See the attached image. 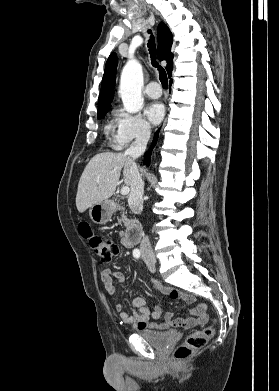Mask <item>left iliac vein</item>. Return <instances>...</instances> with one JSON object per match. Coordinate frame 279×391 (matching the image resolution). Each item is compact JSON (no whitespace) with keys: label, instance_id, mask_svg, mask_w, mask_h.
<instances>
[{"label":"left iliac vein","instance_id":"left-iliac-vein-1","mask_svg":"<svg viewBox=\"0 0 279 391\" xmlns=\"http://www.w3.org/2000/svg\"><path fill=\"white\" fill-rule=\"evenodd\" d=\"M147 266H148V269H149L150 272L154 273L156 271L155 265H148L147 264Z\"/></svg>","mask_w":279,"mask_h":391}]
</instances>
